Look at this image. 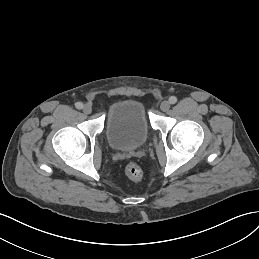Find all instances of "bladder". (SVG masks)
<instances>
[{
    "instance_id": "31cf9c89",
    "label": "bladder",
    "mask_w": 259,
    "mask_h": 259,
    "mask_svg": "<svg viewBox=\"0 0 259 259\" xmlns=\"http://www.w3.org/2000/svg\"><path fill=\"white\" fill-rule=\"evenodd\" d=\"M149 123L143 103L135 98L115 101L106 120V138L117 150L141 147L148 138Z\"/></svg>"
}]
</instances>
